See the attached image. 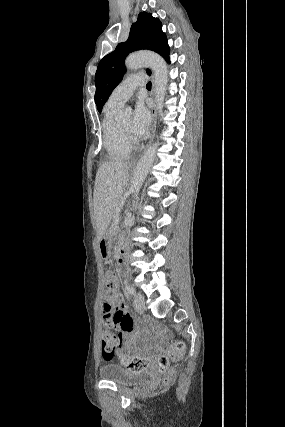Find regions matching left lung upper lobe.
<instances>
[{
    "label": "left lung upper lobe",
    "instance_id": "left-lung-upper-lobe-1",
    "mask_svg": "<svg viewBox=\"0 0 285 427\" xmlns=\"http://www.w3.org/2000/svg\"><path fill=\"white\" fill-rule=\"evenodd\" d=\"M141 49L154 51L169 60V46L162 31V24L146 12L139 13L136 23L131 26L128 40L118 44L116 49L106 55L98 65L95 75V103L99 112L126 72L124 65L126 56Z\"/></svg>",
    "mask_w": 285,
    "mask_h": 427
}]
</instances>
